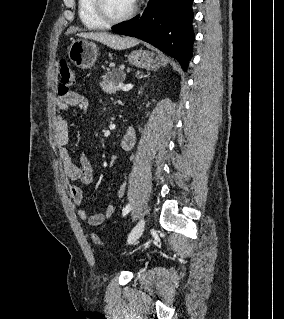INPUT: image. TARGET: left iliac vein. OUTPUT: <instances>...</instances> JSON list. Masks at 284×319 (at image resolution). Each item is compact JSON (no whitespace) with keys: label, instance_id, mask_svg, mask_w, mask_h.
I'll return each mask as SVG.
<instances>
[{"label":"left iliac vein","instance_id":"1","mask_svg":"<svg viewBox=\"0 0 284 319\" xmlns=\"http://www.w3.org/2000/svg\"><path fill=\"white\" fill-rule=\"evenodd\" d=\"M144 228H145V219L142 218L129 234L128 241H127L128 244H134L142 235Z\"/></svg>","mask_w":284,"mask_h":319}]
</instances>
